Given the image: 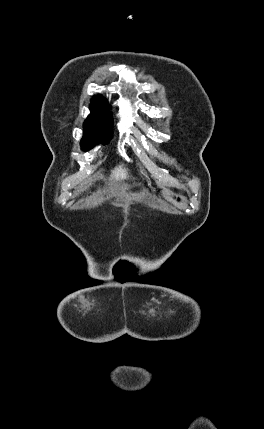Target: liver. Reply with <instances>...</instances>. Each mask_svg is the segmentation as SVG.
Masks as SVG:
<instances>
[{
  "instance_id": "6515ba94",
  "label": "liver",
  "mask_w": 264,
  "mask_h": 429,
  "mask_svg": "<svg viewBox=\"0 0 264 429\" xmlns=\"http://www.w3.org/2000/svg\"><path fill=\"white\" fill-rule=\"evenodd\" d=\"M127 178V170L123 166L116 167L110 176L111 180H123Z\"/></svg>"
}]
</instances>
